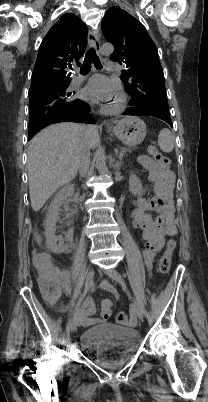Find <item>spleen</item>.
<instances>
[{
    "instance_id": "1",
    "label": "spleen",
    "mask_w": 208,
    "mask_h": 402,
    "mask_svg": "<svg viewBox=\"0 0 208 402\" xmlns=\"http://www.w3.org/2000/svg\"><path fill=\"white\" fill-rule=\"evenodd\" d=\"M158 144L160 150H162V152H167V154L168 152H172V150H174L173 136L170 130H167V128L161 130L158 136Z\"/></svg>"
}]
</instances>
